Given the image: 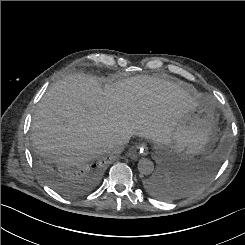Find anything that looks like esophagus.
Segmentation results:
<instances>
[{"label": "esophagus", "mask_w": 245, "mask_h": 245, "mask_svg": "<svg viewBox=\"0 0 245 245\" xmlns=\"http://www.w3.org/2000/svg\"><path fill=\"white\" fill-rule=\"evenodd\" d=\"M148 149L145 144H139L128 153L130 158H135L137 155H147Z\"/></svg>", "instance_id": "esophagus-1"}]
</instances>
